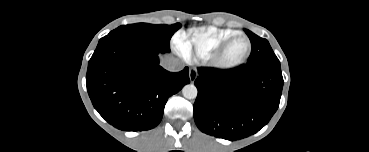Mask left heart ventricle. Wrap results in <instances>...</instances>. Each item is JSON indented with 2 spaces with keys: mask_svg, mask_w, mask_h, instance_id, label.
Listing matches in <instances>:
<instances>
[{
  "mask_svg": "<svg viewBox=\"0 0 369 152\" xmlns=\"http://www.w3.org/2000/svg\"><path fill=\"white\" fill-rule=\"evenodd\" d=\"M248 48L247 41L245 39L235 40L225 53L224 59L227 62H233L241 59L246 53Z\"/></svg>",
  "mask_w": 369,
  "mask_h": 152,
  "instance_id": "obj_1",
  "label": "left heart ventricle"
}]
</instances>
